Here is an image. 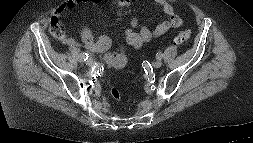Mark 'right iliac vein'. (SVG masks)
I'll use <instances>...</instances> for the list:
<instances>
[{
	"mask_svg": "<svg viewBox=\"0 0 253 143\" xmlns=\"http://www.w3.org/2000/svg\"><path fill=\"white\" fill-rule=\"evenodd\" d=\"M93 64H94L93 59L89 58V59L86 60V65L93 66Z\"/></svg>",
	"mask_w": 253,
	"mask_h": 143,
	"instance_id": "63e3f726",
	"label": "right iliac vein"
}]
</instances>
